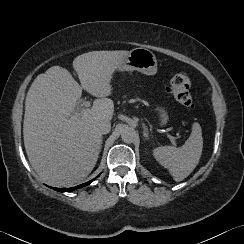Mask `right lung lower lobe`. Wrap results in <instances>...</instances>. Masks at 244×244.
<instances>
[{"label":"right lung lower lobe","mask_w":244,"mask_h":244,"mask_svg":"<svg viewBox=\"0 0 244 244\" xmlns=\"http://www.w3.org/2000/svg\"><path fill=\"white\" fill-rule=\"evenodd\" d=\"M94 180H95V178L92 179V180H90V181H88V182H86V183H84V184L78 185V186H76V187L69 188V189H67V192H71V191H73V190H75V189H78V188L87 186V185H89L91 182H93ZM54 190L59 191V192H65V191H66V188H54Z\"/></svg>","instance_id":"right-lung-lower-lobe-1"}]
</instances>
